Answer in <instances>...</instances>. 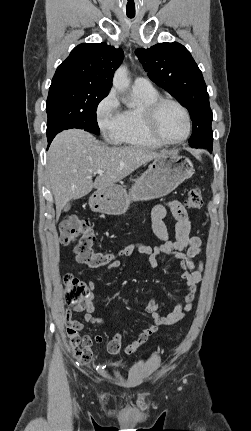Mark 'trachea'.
<instances>
[{"instance_id":"3493384b","label":"trachea","mask_w":251,"mask_h":431,"mask_svg":"<svg viewBox=\"0 0 251 431\" xmlns=\"http://www.w3.org/2000/svg\"><path fill=\"white\" fill-rule=\"evenodd\" d=\"M129 18H133L134 17V15H127Z\"/></svg>"}]
</instances>
